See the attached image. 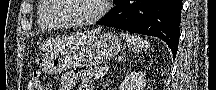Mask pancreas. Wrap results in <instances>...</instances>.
<instances>
[{
  "mask_svg": "<svg viewBox=\"0 0 216 90\" xmlns=\"http://www.w3.org/2000/svg\"><path fill=\"white\" fill-rule=\"evenodd\" d=\"M99 71H100L99 67H87V70H81V72H79L80 78L82 82H88V80H94V76L96 72Z\"/></svg>",
  "mask_w": 216,
  "mask_h": 90,
  "instance_id": "1",
  "label": "pancreas"
}]
</instances>
